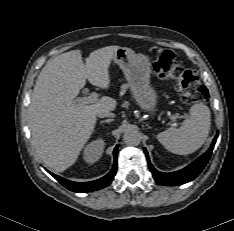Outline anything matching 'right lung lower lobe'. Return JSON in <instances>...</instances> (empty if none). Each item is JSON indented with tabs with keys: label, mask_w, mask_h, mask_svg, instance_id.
<instances>
[{
	"label": "right lung lower lobe",
	"mask_w": 234,
	"mask_h": 231,
	"mask_svg": "<svg viewBox=\"0 0 234 231\" xmlns=\"http://www.w3.org/2000/svg\"><path fill=\"white\" fill-rule=\"evenodd\" d=\"M117 148L118 146H116V148L114 149V165L112 170L104 177L95 180V181H90V182H73V181H69L66 180L60 176H57L55 174L50 173L58 182H60L64 187H66L67 189L74 191V192H90V191H95L101 188H104L106 186H108L115 174H116V170H117Z\"/></svg>",
	"instance_id": "right-lung-lower-lobe-1"
}]
</instances>
